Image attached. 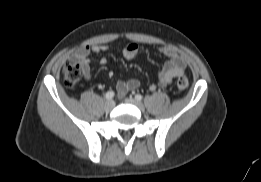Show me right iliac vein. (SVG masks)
<instances>
[{"label": "right iliac vein", "mask_w": 261, "mask_h": 182, "mask_svg": "<svg viewBox=\"0 0 261 182\" xmlns=\"http://www.w3.org/2000/svg\"><path fill=\"white\" fill-rule=\"evenodd\" d=\"M115 107V103L112 100L106 101L104 108L106 111H111Z\"/></svg>", "instance_id": "1"}]
</instances>
